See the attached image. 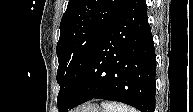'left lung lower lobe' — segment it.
Segmentation results:
<instances>
[{
  "mask_svg": "<svg viewBox=\"0 0 193 112\" xmlns=\"http://www.w3.org/2000/svg\"><path fill=\"white\" fill-rule=\"evenodd\" d=\"M156 60L145 0H132L97 43L61 112L92 99L155 111Z\"/></svg>",
  "mask_w": 193,
  "mask_h": 112,
  "instance_id": "0a47b994",
  "label": "left lung lower lobe"
}]
</instances>
